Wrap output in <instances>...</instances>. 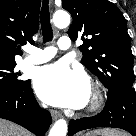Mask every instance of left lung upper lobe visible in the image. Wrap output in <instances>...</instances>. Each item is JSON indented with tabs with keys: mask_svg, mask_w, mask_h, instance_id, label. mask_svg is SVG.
<instances>
[{
	"mask_svg": "<svg viewBox=\"0 0 136 136\" xmlns=\"http://www.w3.org/2000/svg\"><path fill=\"white\" fill-rule=\"evenodd\" d=\"M62 7L73 18L69 37L83 41L82 64L108 90L133 87L131 38L121 11L108 0H62Z\"/></svg>",
	"mask_w": 136,
	"mask_h": 136,
	"instance_id": "1",
	"label": "left lung upper lobe"
}]
</instances>
